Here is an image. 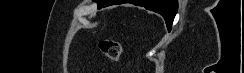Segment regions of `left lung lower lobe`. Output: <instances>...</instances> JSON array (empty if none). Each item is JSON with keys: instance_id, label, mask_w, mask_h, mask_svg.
I'll list each match as a JSON object with an SVG mask.
<instances>
[{"instance_id": "0a47b994", "label": "left lung lower lobe", "mask_w": 244, "mask_h": 73, "mask_svg": "<svg viewBox=\"0 0 244 73\" xmlns=\"http://www.w3.org/2000/svg\"><path fill=\"white\" fill-rule=\"evenodd\" d=\"M121 3H133L135 5L144 6L148 10L161 14L166 21L168 30H171L178 8L177 0H106L103 5L106 7Z\"/></svg>"}]
</instances>
